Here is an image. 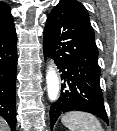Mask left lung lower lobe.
<instances>
[{
    "label": "left lung lower lobe",
    "mask_w": 117,
    "mask_h": 131,
    "mask_svg": "<svg viewBox=\"0 0 117 131\" xmlns=\"http://www.w3.org/2000/svg\"><path fill=\"white\" fill-rule=\"evenodd\" d=\"M44 55L54 60L63 80V92L50 108L51 126L68 111L92 113L108 124L100 88L98 50L78 14L60 2L49 14L44 29Z\"/></svg>",
    "instance_id": "1"
}]
</instances>
